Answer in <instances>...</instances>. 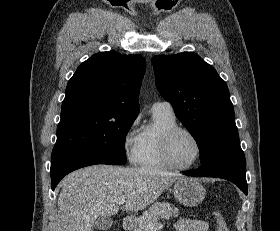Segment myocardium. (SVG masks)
<instances>
[{
    "instance_id": "myocardium-1",
    "label": "myocardium",
    "mask_w": 280,
    "mask_h": 231,
    "mask_svg": "<svg viewBox=\"0 0 280 231\" xmlns=\"http://www.w3.org/2000/svg\"><path fill=\"white\" fill-rule=\"evenodd\" d=\"M179 133H186V134L190 135L196 141V144L198 146L197 159L193 164L188 165V166L177 165L173 161L172 156H171L172 141L175 138V136ZM160 151H161L162 158L171 168L180 170V171H187V170H191V169L197 167L200 164V162L202 161V158H203L204 148H203V144H202L200 138L196 135L195 132H193L192 130L185 128V127L176 126V127L167 129L162 133L161 138H160Z\"/></svg>"
}]
</instances>
